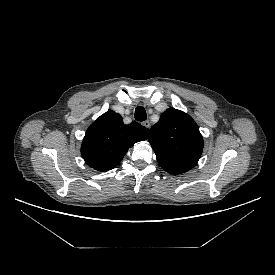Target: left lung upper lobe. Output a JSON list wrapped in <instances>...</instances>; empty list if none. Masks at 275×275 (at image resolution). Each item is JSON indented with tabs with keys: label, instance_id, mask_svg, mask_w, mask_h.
I'll return each mask as SVG.
<instances>
[{
	"label": "left lung upper lobe",
	"instance_id": "1",
	"mask_svg": "<svg viewBox=\"0 0 275 275\" xmlns=\"http://www.w3.org/2000/svg\"><path fill=\"white\" fill-rule=\"evenodd\" d=\"M149 142L162 169L181 174L192 169L203 151L198 125L186 113L167 109L151 128Z\"/></svg>",
	"mask_w": 275,
	"mask_h": 275
}]
</instances>
